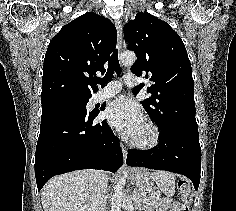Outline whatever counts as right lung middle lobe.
Masks as SVG:
<instances>
[{
	"label": "right lung middle lobe",
	"instance_id": "1",
	"mask_svg": "<svg viewBox=\"0 0 236 211\" xmlns=\"http://www.w3.org/2000/svg\"><path fill=\"white\" fill-rule=\"evenodd\" d=\"M89 99L60 98L42 104V111L52 109H71L76 113H86V104Z\"/></svg>",
	"mask_w": 236,
	"mask_h": 211
}]
</instances>
